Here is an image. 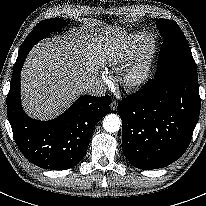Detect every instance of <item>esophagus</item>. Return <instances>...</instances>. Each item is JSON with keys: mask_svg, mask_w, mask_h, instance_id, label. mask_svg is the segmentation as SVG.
Listing matches in <instances>:
<instances>
[{"mask_svg": "<svg viewBox=\"0 0 206 206\" xmlns=\"http://www.w3.org/2000/svg\"><path fill=\"white\" fill-rule=\"evenodd\" d=\"M117 106H118L117 101H112L111 104H110V107H111L112 111H116L117 110Z\"/></svg>", "mask_w": 206, "mask_h": 206, "instance_id": "34e87169", "label": "esophagus"}]
</instances>
